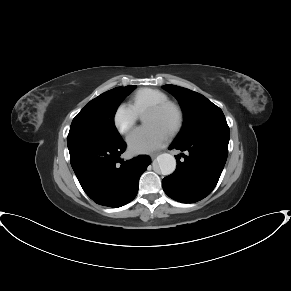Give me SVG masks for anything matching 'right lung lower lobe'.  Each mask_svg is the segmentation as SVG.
Segmentation results:
<instances>
[{"instance_id": "1", "label": "right lung lower lobe", "mask_w": 291, "mask_h": 291, "mask_svg": "<svg viewBox=\"0 0 291 291\" xmlns=\"http://www.w3.org/2000/svg\"><path fill=\"white\" fill-rule=\"evenodd\" d=\"M70 162L85 193L97 204L121 207L132 201L139 188V178L151 160L139 155L122 161L126 149L122 140L103 144L87 140L68 142Z\"/></svg>"}]
</instances>
